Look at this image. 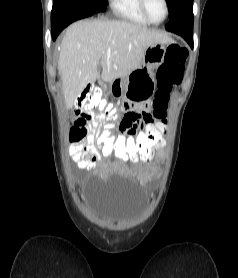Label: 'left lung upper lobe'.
Masks as SVG:
<instances>
[{
	"label": "left lung upper lobe",
	"instance_id": "1",
	"mask_svg": "<svg viewBox=\"0 0 238 278\" xmlns=\"http://www.w3.org/2000/svg\"><path fill=\"white\" fill-rule=\"evenodd\" d=\"M193 0H168L170 8V18L175 15L178 9L186 2Z\"/></svg>",
	"mask_w": 238,
	"mask_h": 278
}]
</instances>
